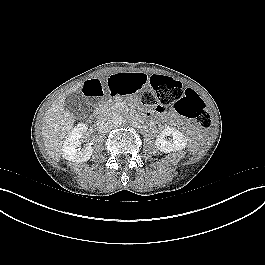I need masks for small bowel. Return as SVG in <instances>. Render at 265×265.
Wrapping results in <instances>:
<instances>
[{"label":"small bowel","mask_w":265,"mask_h":265,"mask_svg":"<svg viewBox=\"0 0 265 265\" xmlns=\"http://www.w3.org/2000/svg\"><path fill=\"white\" fill-rule=\"evenodd\" d=\"M146 83V76L142 72L131 71L126 74H116L104 79H94L88 85L91 94L99 95L103 92L111 94L130 93L134 88H142ZM156 113L162 118H172L173 113H168L163 108L156 109Z\"/></svg>","instance_id":"obj_1"}]
</instances>
